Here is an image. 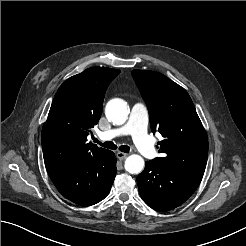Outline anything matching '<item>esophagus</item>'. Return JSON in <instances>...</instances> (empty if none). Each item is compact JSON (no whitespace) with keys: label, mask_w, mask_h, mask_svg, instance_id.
<instances>
[{"label":"esophagus","mask_w":246,"mask_h":246,"mask_svg":"<svg viewBox=\"0 0 246 246\" xmlns=\"http://www.w3.org/2000/svg\"><path fill=\"white\" fill-rule=\"evenodd\" d=\"M128 154L124 153V152H121V151H118L116 153V157L119 159V160H123L127 157Z\"/></svg>","instance_id":"1"}]
</instances>
